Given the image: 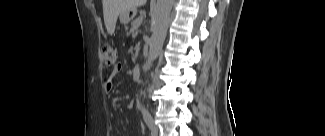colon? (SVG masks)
Returning a JSON list of instances; mask_svg holds the SVG:
<instances>
[{"instance_id":"obj_1","label":"colon","mask_w":325,"mask_h":136,"mask_svg":"<svg viewBox=\"0 0 325 136\" xmlns=\"http://www.w3.org/2000/svg\"><path fill=\"white\" fill-rule=\"evenodd\" d=\"M102 54L104 57V62L108 66H114L118 58V50L112 44H104L102 46Z\"/></svg>"}]
</instances>
